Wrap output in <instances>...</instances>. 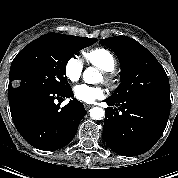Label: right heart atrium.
Returning a JSON list of instances; mask_svg holds the SVG:
<instances>
[{
    "mask_svg": "<svg viewBox=\"0 0 178 178\" xmlns=\"http://www.w3.org/2000/svg\"><path fill=\"white\" fill-rule=\"evenodd\" d=\"M83 73V63L77 57H71L65 64V74L69 81L77 82Z\"/></svg>",
    "mask_w": 178,
    "mask_h": 178,
    "instance_id": "right-heart-atrium-1",
    "label": "right heart atrium"
}]
</instances>
